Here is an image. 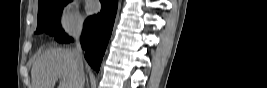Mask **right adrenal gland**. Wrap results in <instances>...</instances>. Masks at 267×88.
Listing matches in <instances>:
<instances>
[{
	"label": "right adrenal gland",
	"instance_id": "right-adrenal-gland-1",
	"mask_svg": "<svg viewBox=\"0 0 267 88\" xmlns=\"http://www.w3.org/2000/svg\"><path fill=\"white\" fill-rule=\"evenodd\" d=\"M86 81H87V88H89V83H88V79H87V77H86Z\"/></svg>",
	"mask_w": 267,
	"mask_h": 88
}]
</instances>
